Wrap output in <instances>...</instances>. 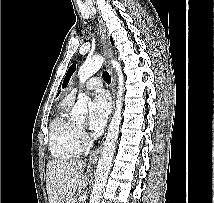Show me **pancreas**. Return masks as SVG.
I'll list each match as a JSON object with an SVG mask.
<instances>
[{"mask_svg": "<svg viewBox=\"0 0 214 203\" xmlns=\"http://www.w3.org/2000/svg\"><path fill=\"white\" fill-rule=\"evenodd\" d=\"M74 199L73 198H71V199H69L66 203H74Z\"/></svg>", "mask_w": 214, "mask_h": 203, "instance_id": "1", "label": "pancreas"}]
</instances>
